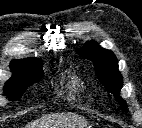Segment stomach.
<instances>
[{"instance_id":"1","label":"stomach","mask_w":142,"mask_h":128,"mask_svg":"<svg viewBox=\"0 0 142 128\" xmlns=\"http://www.w3.org/2000/svg\"><path fill=\"white\" fill-rule=\"evenodd\" d=\"M77 128H89V126L87 123H82Z\"/></svg>"}]
</instances>
